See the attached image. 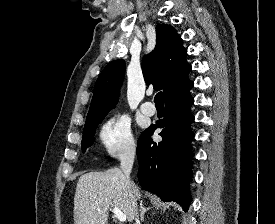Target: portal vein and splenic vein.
Segmentation results:
<instances>
[{"mask_svg":"<svg viewBox=\"0 0 275 224\" xmlns=\"http://www.w3.org/2000/svg\"><path fill=\"white\" fill-rule=\"evenodd\" d=\"M112 211L114 213V216L120 221V222H125L126 221V215L120 211L118 208L113 207Z\"/></svg>","mask_w":275,"mask_h":224,"instance_id":"18ae733b","label":"portal vein and splenic vein"}]
</instances>
